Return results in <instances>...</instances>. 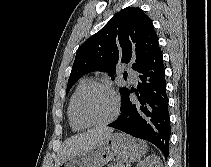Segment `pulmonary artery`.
<instances>
[{"instance_id":"obj_1","label":"pulmonary artery","mask_w":211,"mask_h":167,"mask_svg":"<svg viewBox=\"0 0 211 167\" xmlns=\"http://www.w3.org/2000/svg\"><path fill=\"white\" fill-rule=\"evenodd\" d=\"M132 80H133V82H137V77H136V75H132Z\"/></svg>"}]
</instances>
